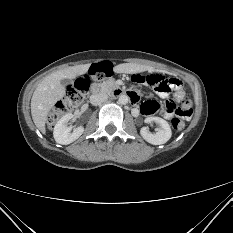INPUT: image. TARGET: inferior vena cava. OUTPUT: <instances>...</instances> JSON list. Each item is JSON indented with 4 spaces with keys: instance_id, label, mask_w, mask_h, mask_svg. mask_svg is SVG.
<instances>
[{
    "instance_id": "inferior-vena-cava-1",
    "label": "inferior vena cava",
    "mask_w": 233,
    "mask_h": 233,
    "mask_svg": "<svg viewBox=\"0 0 233 233\" xmlns=\"http://www.w3.org/2000/svg\"><path fill=\"white\" fill-rule=\"evenodd\" d=\"M108 99V95L104 92L93 94L90 96V103L94 106L100 105Z\"/></svg>"
}]
</instances>
